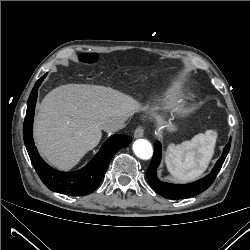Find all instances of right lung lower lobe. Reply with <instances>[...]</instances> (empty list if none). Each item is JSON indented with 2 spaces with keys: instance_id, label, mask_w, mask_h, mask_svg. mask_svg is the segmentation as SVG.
<instances>
[{
  "instance_id": "98d812e1",
  "label": "right lung lower lobe",
  "mask_w": 250,
  "mask_h": 250,
  "mask_svg": "<svg viewBox=\"0 0 250 250\" xmlns=\"http://www.w3.org/2000/svg\"><path fill=\"white\" fill-rule=\"evenodd\" d=\"M45 77L46 74L37 81L28 99L23 137L29 157L40 179L50 190L71 196L88 195L102 181L113 155L128 146L132 139L120 134L111 136L95 157L85 167L75 172L58 171L46 164L38 154L32 134L37 92Z\"/></svg>"
}]
</instances>
